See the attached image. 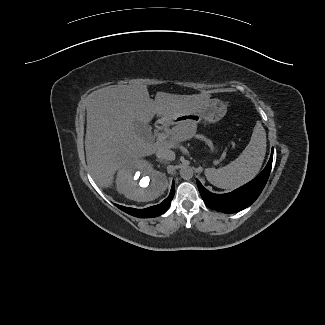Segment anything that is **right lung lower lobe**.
Wrapping results in <instances>:
<instances>
[{
    "label": "right lung lower lobe",
    "mask_w": 325,
    "mask_h": 325,
    "mask_svg": "<svg viewBox=\"0 0 325 325\" xmlns=\"http://www.w3.org/2000/svg\"><path fill=\"white\" fill-rule=\"evenodd\" d=\"M174 192H175V185H174V181H173L169 196L158 205L151 206V207H148L145 209H135V208L124 207V206L117 205V204H115V205L119 209H121L124 212H126L132 216H135V217H139V218L157 217V216L163 214L168 209V207L170 206L171 201L174 197Z\"/></svg>",
    "instance_id": "98d812e1"
}]
</instances>
